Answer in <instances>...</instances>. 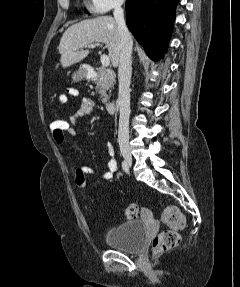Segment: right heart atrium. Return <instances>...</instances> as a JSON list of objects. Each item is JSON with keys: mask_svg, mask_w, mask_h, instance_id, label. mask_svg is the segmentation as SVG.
<instances>
[{"mask_svg": "<svg viewBox=\"0 0 240 287\" xmlns=\"http://www.w3.org/2000/svg\"><path fill=\"white\" fill-rule=\"evenodd\" d=\"M124 3V0H86L88 9L93 14H104L111 9L117 8Z\"/></svg>", "mask_w": 240, "mask_h": 287, "instance_id": "obj_1", "label": "right heart atrium"}]
</instances>
